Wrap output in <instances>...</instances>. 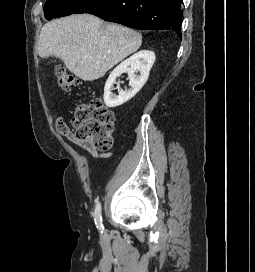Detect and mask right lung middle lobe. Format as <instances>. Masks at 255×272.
<instances>
[{"mask_svg":"<svg viewBox=\"0 0 255 272\" xmlns=\"http://www.w3.org/2000/svg\"><path fill=\"white\" fill-rule=\"evenodd\" d=\"M90 0H47L44 15L47 20L73 14Z\"/></svg>","mask_w":255,"mask_h":272,"instance_id":"obj_1","label":"right lung middle lobe"}]
</instances>
